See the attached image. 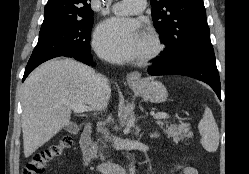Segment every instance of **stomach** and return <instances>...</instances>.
<instances>
[{
	"mask_svg": "<svg viewBox=\"0 0 249 174\" xmlns=\"http://www.w3.org/2000/svg\"><path fill=\"white\" fill-rule=\"evenodd\" d=\"M145 100L153 103H162L168 97L166 87L159 81L151 78L141 79L138 83L130 84Z\"/></svg>",
	"mask_w": 249,
	"mask_h": 174,
	"instance_id": "1",
	"label": "stomach"
}]
</instances>
